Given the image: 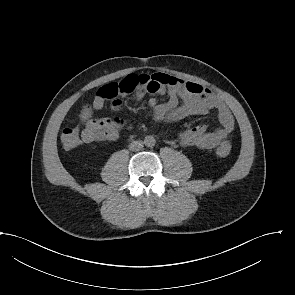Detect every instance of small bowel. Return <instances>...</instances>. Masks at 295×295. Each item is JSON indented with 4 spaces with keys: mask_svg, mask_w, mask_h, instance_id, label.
<instances>
[{
    "mask_svg": "<svg viewBox=\"0 0 295 295\" xmlns=\"http://www.w3.org/2000/svg\"><path fill=\"white\" fill-rule=\"evenodd\" d=\"M138 76L140 84L135 92L137 99H142L146 94L168 97L162 103L154 97L149 99L152 115L158 121L170 123L192 115H205L210 110L216 111L221 126L212 131H207L203 125L184 130L179 134L182 146L214 149L232 133L235 124L233 114L227 104L210 89L164 73ZM104 104L105 99L96 94L93 102L80 113V121L84 127L83 141L86 143L116 140L119 131L127 124L119 118H94V112L102 109ZM119 106L120 102L116 101L112 108L117 109Z\"/></svg>",
    "mask_w": 295,
    "mask_h": 295,
    "instance_id": "c3829d8e",
    "label": "small bowel"
}]
</instances>
